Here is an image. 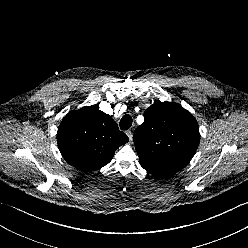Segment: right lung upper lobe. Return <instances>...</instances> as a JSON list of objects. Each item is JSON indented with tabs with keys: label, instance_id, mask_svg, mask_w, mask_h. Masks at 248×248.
I'll use <instances>...</instances> for the list:
<instances>
[{
	"label": "right lung upper lobe",
	"instance_id": "cb5924a9",
	"mask_svg": "<svg viewBox=\"0 0 248 248\" xmlns=\"http://www.w3.org/2000/svg\"><path fill=\"white\" fill-rule=\"evenodd\" d=\"M57 142L70 165L91 172L108 164L116 149L128 142V137L111 116L92 105L65 116L58 129Z\"/></svg>",
	"mask_w": 248,
	"mask_h": 248
}]
</instances>
